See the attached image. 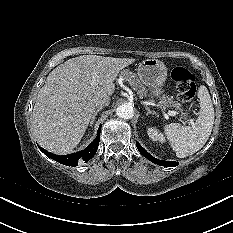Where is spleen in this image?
Instances as JSON below:
<instances>
[{
  "label": "spleen",
  "instance_id": "1",
  "mask_svg": "<svg viewBox=\"0 0 233 233\" xmlns=\"http://www.w3.org/2000/svg\"><path fill=\"white\" fill-rule=\"evenodd\" d=\"M200 110L195 123L183 126L171 123L164 126V134L176 156L184 158L199 151L209 139L214 124V108L205 86L198 89Z\"/></svg>",
  "mask_w": 233,
  "mask_h": 233
}]
</instances>
